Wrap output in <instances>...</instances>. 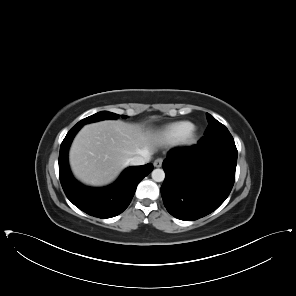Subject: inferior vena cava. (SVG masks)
<instances>
[{"label":"inferior vena cava","instance_id":"obj_1","mask_svg":"<svg viewBox=\"0 0 296 296\" xmlns=\"http://www.w3.org/2000/svg\"><path fill=\"white\" fill-rule=\"evenodd\" d=\"M150 160V154L147 153L144 156H134L130 159V165L132 166H140L144 165L145 163L149 162Z\"/></svg>","mask_w":296,"mask_h":296}]
</instances>
